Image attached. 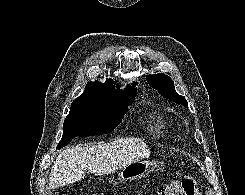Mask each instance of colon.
<instances>
[{"mask_svg":"<svg viewBox=\"0 0 245 195\" xmlns=\"http://www.w3.org/2000/svg\"><path fill=\"white\" fill-rule=\"evenodd\" d=\"M197 184L191 177H183L162 187L158 195H195Z\"/></svg>","mask_w":245,"mask_h":195,"instance_id":"obj_1","label":"colon"}]
</instances>
